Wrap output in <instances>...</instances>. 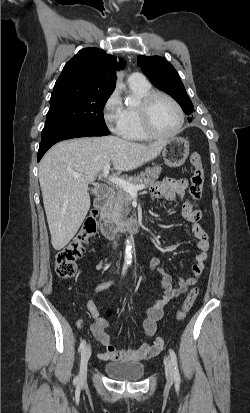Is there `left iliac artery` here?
<instances>
[{"label": "left iliac artery", "instance_id": "obj_1", "mask_svg": "<svg viewBox=\"0 0 250 413\" xmlns=\"http://www.w3.org/2000/svg\"><path fill=\"white\" fill-rule=\"evenodd\" d=\"M169 353H170L172 364L174 366V379H175L176 382H180V375H179V371H178V364H177L176 354L172 349L169 350Z\"/></svg>", "mask_w": 250, "mask_h": 413}]
</instances>
